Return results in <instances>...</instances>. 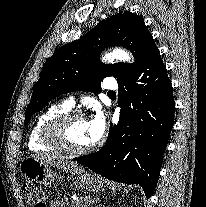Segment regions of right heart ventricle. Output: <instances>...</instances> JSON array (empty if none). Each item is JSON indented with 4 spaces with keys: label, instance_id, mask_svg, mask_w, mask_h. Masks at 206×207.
Instances as JSON below:
<instances>
[{
    "label": "right heart ventricle",
    "instance_id": "e07e8e85",
    "mask_svg": "<svg viewBox=\"0 0 206 207\" xmlns=\"http://www.w3.org/2000/svg\"><path fill=\"white\" fill-rule=\"evenodd\" d=\"M70 107L65 103H55L48 106L36 118L28 136V148L34 152H47L54 149L42 140L43 126L54 116L69 111Z\"/></svg>",
    "mask_w": 206,
    "mask_h": 207
}]
</instances>
